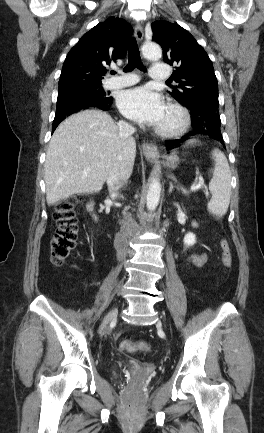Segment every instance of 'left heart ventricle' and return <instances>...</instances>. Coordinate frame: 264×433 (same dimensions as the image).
Returning a JSON list of instances; mask_svg holds the SVG:
<instances>
[{"label": "left heart ventricle", "mask_w": 264, "mask_h": 433, "mask_svg": "<svg viewBox=\"0 0 264 433\" xmlns=\"http://www.w3.org/2000/svg\"><path fill=\"white\" fill-rule=\"evenodd\" d=\"M177 120V117L174 113L166 110L165 115L160 122L159 126H171L173 125Z\"/></svg>", "instance_id": "b2bd125f"}]
</instances>
